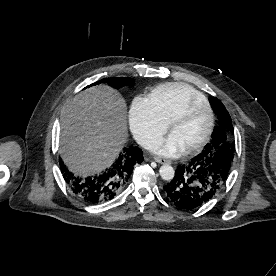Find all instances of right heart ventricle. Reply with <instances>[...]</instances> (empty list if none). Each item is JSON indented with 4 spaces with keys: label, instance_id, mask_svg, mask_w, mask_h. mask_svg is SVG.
I'll use <instances>...</instances> for the list:
<instances>
[{
    "label": "right heart ventricle",
    "instance_id": "1",
    "mask_svg": "<svg viewBox=\"0 0 276 276\" xmlns=\"http://www.w3.org/2000/svg\"><path fill=\"white\" fill-rule=\"evenodd\" d=\"M205 97L196 89L181 82H168L155 87L148 100L160 116L167 122L182 110L191 100H203Z\"/></svg>",
    "mask_w": 276,
    "mask_h": 276
}]
</instances>
